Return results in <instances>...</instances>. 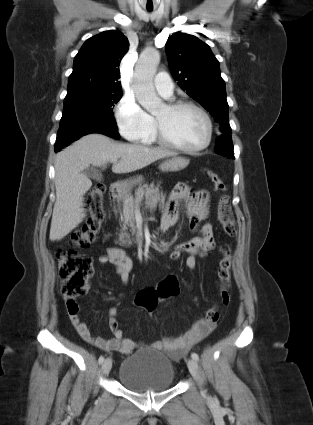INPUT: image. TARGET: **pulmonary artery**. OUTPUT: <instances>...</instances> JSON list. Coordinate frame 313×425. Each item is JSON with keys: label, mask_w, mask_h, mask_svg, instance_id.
I'll list each match as a JSON object with an SVG mask.
<instances>
[{"label": "pulmonary artery", "mask_w": 313, "mask_h": 425, "mask_svg": "<svg viewBox=\"0 0 313 425\" xmlns=\"http://www.w3.org/2000/svg\"><path fill=\"white\" fill-rule=\"evenodd\" d=\"M154 86L162 97L169 99L173 96L174 85L167 73H158L154 79Z\"/></svg>", "instance_id": "pulmonary-artery-1"}]
</instances>
